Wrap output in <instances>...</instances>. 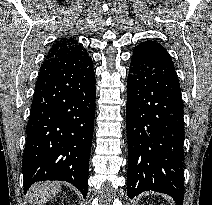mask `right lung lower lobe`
<instances>
[{
  "label": "right lung lower lobe",
  "mask_w": 212,
  "mask_h": 205,
  "mask_svg": "<svg viewBox=\"0 0 212 205\" xmlns=\"http://www.w3.org/2000/svg\"><path fill=\"white\" fill-rule=\"evenodd\" d=\"M95 97V73L88 54L42 63L26 128L24 193L37 181L60 180L86 197Z\"/></svg>",
  "instance_id": "98d812e1"
}]
</instances>
